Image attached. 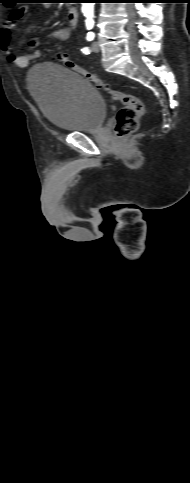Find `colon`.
I'll use <instances>...</instances> for the list:
<instances>
[{
  "label": "colon",
  "mask_w": 190,
  "mask_h": 483,
  "mask_svg": "<svg viewBox=\"0 0 190 483\" xmlns=\"http://www.w3.org/2000/svg\"><path fill=\"white\" fill-rule=\"evenodd\" d=\"M57 60L68 69L84 76L95 87L106 91L112 101L123 104V107L117 113L114 125V133L118 138H124L138 129L140 117L144 113V105L137 96L113 89L95 74L70 60L62 53L58 54Z\"/></svg>",
  "instance_id": "colon-1"
}]
</instances>
